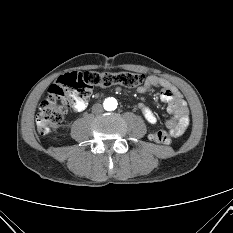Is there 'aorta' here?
<instances>
[{
  "mask_svg": "<svg viewBox=\"0 0 233 233\" xmlns=\"http://www.w3.org/2000/svg\"><path fill=\"white\" fill-rule=\"evenodd\" d=\"M104 108L107 111H112L115 110L117 108V101L115 98H107L104 101Z\"/></svg>",
  "mask_w": 233,
  "mask_h": 233,
  "instance_id": "762f6f07",
  "label": "aorta"
}]
</instances>
